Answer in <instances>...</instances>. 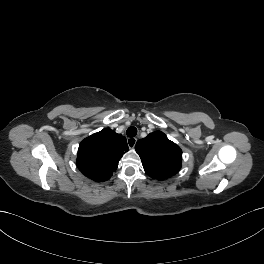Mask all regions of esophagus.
<instances>
[{
    "instance_id": "34e87169",
    "label": "esophagus",
    "mask_w": 264,
    "mask_h": 264,
    "mask_svg": "<svg viewBox=\"0 0 264 264\" xmlns=\"http://www.w3.org/2000/svg\"><path fill=\"white\" fill-rule=\"evenodd\" d=\"M137 142V138L131 137L127 139V144L130 148H134Z\"/></svg>"
}]
</instances>
